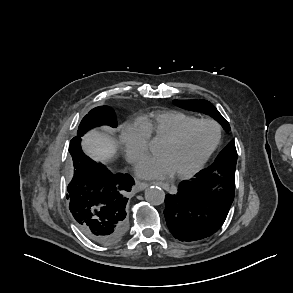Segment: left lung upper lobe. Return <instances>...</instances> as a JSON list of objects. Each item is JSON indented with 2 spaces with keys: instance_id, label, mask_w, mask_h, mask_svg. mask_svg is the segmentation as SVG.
Wrapping results in <instances>:
<instances>
[{
  "instance_id": "1",
  "label": "left lung upper lobe",
  "mask_w": 293,
  "mask_h": 293,
  "mask_svg": "<svg viewBox=\"0 0 293 293\" xmlns=\"http://www.w3.org/2000/svg\"><path fill=\"white\" fill-rule=\"evenodd\" d=\"M175 105L192 110L203 112L209 114L214 119H216L224 129L230 130L229 123L224 119V117L218 112V110L206 100H174ZM237 161V151L234 141H231L217 156L214 163L205 171L207 173L218 172L223 173L226 171L235 172Z\"/></svg>"
}]
</instances>
